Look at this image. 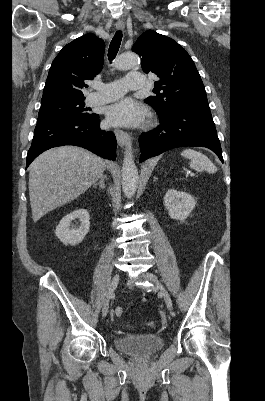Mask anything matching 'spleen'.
<instances>
[{
	"mask_svg": "<svg viewBox=\"0 0 265 401\" xmlns=\"http://www.w3.org/2000/svg\"><path fill=\"white\" fill-rule=\"evenodd\" d=\"M182 156L185 158H190V168H195L198 172H203V170H207V172H216L217 166L211 162L210 158L203 154V152H199V150H193V148H185L181 152Z\"/></svg>",
	"mask_w": 265,
	"mask_h": 401,
	"instance_id": "1",
	"label": "spleen"
}]
</instances>
